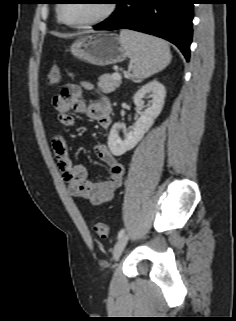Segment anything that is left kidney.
Instances as JSON below:
<instances>
[{"mask_svg":"<svg viewBox=\"0 0 236 321\" xmlns=\"http://www.w3.org/2000/svg\"><path fill=\"white\" fill-rule=\"evenodd\" d=\"M165 96V87L157 80L147 83L137 91L134 95V103L137 108L145 109L130 131L126 133L125 139L122 140L119 137L122 125L115 123L112 126L108 137V147L113 155L120 156L137 145L161 113ZM144 98H151L147 106H145Z\"/></svg>","mask_w":236,"mask_h":321,"instance_id":"obj_1","label":"left kidney"}]
</instances>
